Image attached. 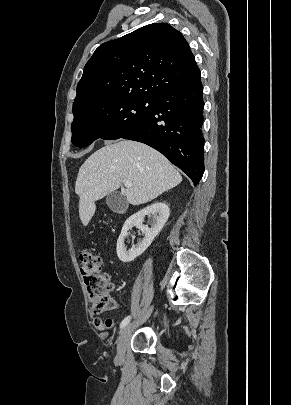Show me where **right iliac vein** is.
Segmentation results:
<instances>
[{"instance_id": "63e3f726", "label": "right iliac vein", "mask_w": 291, "mask_h": 405, "mask_svg": "<svg viewBox=\"0 0 291 405\" xmlns=\"http://www.w3.org/2000/svg\"><path fill=\"white\" fill-rule=\"evenodd\" d=\"M152 308L145 312L140 318L137 320L136 324L144 322L151 314ZM135 326V323H131L125 326L119 333L118 340H117V359L122 360L125 352L126 344L131 336L132 330Z\"/></svg>"}]
</instances>
